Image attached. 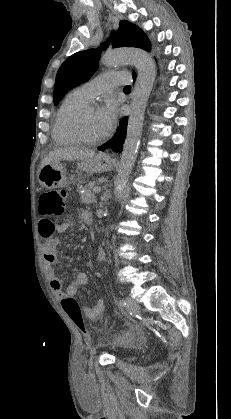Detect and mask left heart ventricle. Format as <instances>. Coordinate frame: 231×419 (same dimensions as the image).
<instances>
[{
	"mask_svg": "<svg viewBox=\"0 0 231 419\" xmlns=\"http://www.w3.org/2000/svg\"><path fill=\"white\" fill-rule=\"evenodd\" d=\"M82 127L90 137H99L105 134L99 111L95 107H92L83 118Z\"/></svg>",
	"mask_w": 231,
	"mask_h": 419,
	"instance_id": "left-heart-ventricle-1",
	"label": "left heart ventricle"
}]
</instances>
